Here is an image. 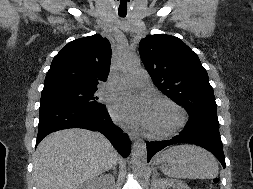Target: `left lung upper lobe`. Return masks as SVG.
I'll list each match as a JSON object with an SVG mask.
<instances>
[{"label": "left lung upper lobe", "mask_w": 253, "mask_h": 189, "mask_svg": "<svg viewBox=\"0 0 253 189\" xmlns=\"http://www.w3.org/2000/svg\"><path fill=\"white\" fill-rule=\"evenodd\" d=\"M139 53L154 84L182 105L189 117L218 120L208 74L197 54L179 38L149 35L140 41Z\"/></svg>", "instance_id": "5c2ea615"}]
</instances>
